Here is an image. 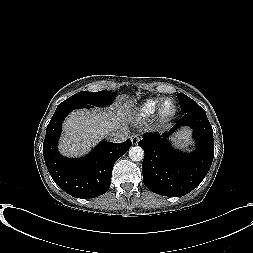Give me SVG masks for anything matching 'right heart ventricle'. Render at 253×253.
<instances>
[{
	"label": "right heart ventricle",
	"mask_w": 253,
	"mask_h": 253,
	"mask_svg": "<svg viewBox=\"0 0 253 253\" xmlns=\"http://www.w3.org/2000/svg\"><path fill=\"white\" fill-rule=\"evenodd\" d=\"M160 101V98L147 99L136 109L137 116L142 119L152 117L156 113Z\"/></svg>",
	"instance_id": "1"
}]
</instances>
